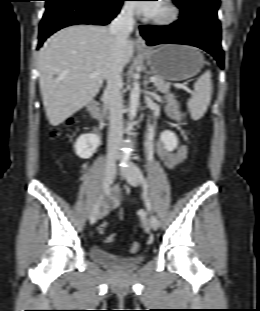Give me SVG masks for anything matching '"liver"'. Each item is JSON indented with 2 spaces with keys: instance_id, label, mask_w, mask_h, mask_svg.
I'll use <instances>...</instances> for the list:
<instances>
[{
  "instance_id": "1",
  "label": "liver",
  "mask_w": 260,
  "mask_h": 311,
  "mask_svg": "<svg viewBox=\"0 0 260 311\" xmlns=\"http://www.w3.org/2000/svg\"><path fill=\"white\" fill-rule=\"evenodd\" d=\"M115 37L110 27L73 25L51 36L39 52V84L52 126H58L87 105L116 65ZM134 44L127 39L121 64L127 65ZM93 72L98 75L91 77Z\"/></svg>"
}]
</instances>
